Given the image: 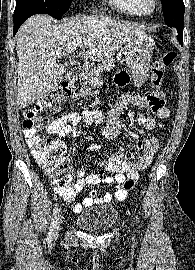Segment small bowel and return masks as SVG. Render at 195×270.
Returning a JSON list of instances; mask_svg holds the SVG:
<instances>
[{
  "label": "small bowel",
  "mask_w": 195,
  "mask_h": 270,
  "mask_svg": "<svg viewBox=\"0 0 195 270\" xmlns=\"http://www.w3.org/2000/svg\"><path fill=\"white\" fill-rule=\"evenodd\" d=\"M116 83L124 86L129 81V76L125 72H120L116 75ZM134 105L141 109L156 115L158 118L166 119L170 116V110L164 105L156 108H149L145 104V96H138L132 94L121 95L110 110L103 129V134L108 138H115L123 131L130 134L136 141V150L140 155L133 158L132 161L127 159L126 153L122 148L119 149L116 155H113L102 162L103 170L95 174L86 175L84 168H69L70 177L76 179L75 184L66 193H60V196L68 203H73L76 196L83 190L85 186L96 185L103 183L105 185L117 184L114 193V198L122 201L126 198L127 192L122 189L121 184L130 178H138L140 171L147 168L153 161L156 151L159 148V139L155 135L161 124L154 119L143 114H132V117L142 127L143 130L153 133L148 137H141L135 132L128 129L123 123L119 121V117L128 105ZM83 122L88 126L99 125L103 122V114L97 110H83L81 112H70L56 120L52 121L48 128L50 134L58 135L64 138L69 134L79 136L80 131L78 125ZM99 145H92L90 150L98 148ZM73 152H76L74 149ZM104 171L114 173L113 176H105ZM113 195L106 192L102 197L97 195L95 190H90L88 195L83 199L82 203L74 205V212L80 213L83 208L91 207L95 204H105L112 200Z\"/></svg>",
  "instance_id": "1"
}]
</instances>
